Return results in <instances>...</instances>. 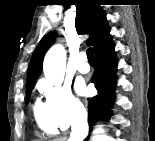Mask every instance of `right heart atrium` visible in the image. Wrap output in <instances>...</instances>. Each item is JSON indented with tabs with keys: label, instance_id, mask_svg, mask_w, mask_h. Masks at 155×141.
<instances>
[{
	"label": "right heart atrium",
	"instance_id": "obj_1",
	"mask_svg": "<svg viewBox=\"0 0 155 141\" xmlns=\"http://www.w3.org/2000/svg\"><path fill=\"white\" fill-rule=\"evenodd\" d=\"M41 90L46 98V107L57 127L66 130L83 121L85 108L69 85L43 83Z\"/></svg>",
	"mask_w": 155,
	"mask_h": 141
}]
</instances>
